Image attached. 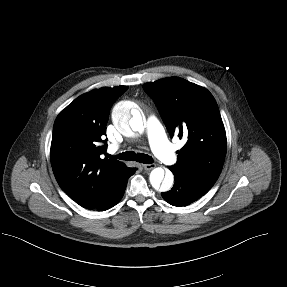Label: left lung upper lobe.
<instances>
[{
  "label": "left lung upper lobe",
  "instance_id": "5c2ea615",
  "mask_svg": "<svg viewBox=\"0 0 287 287\" xmlns=\"http://www.w3.org/2000/svg\"><path fill=\"white\" fill-rule=\"evenodd\" d=\"M143 88L156 103L171 137L176 133L188 138L177 151V163L169 169L210 190L222 170L227 148L214 97L206 88L177 77L146 83Z\"/></svg>",
  "mask_w": 287,
  "mask_h": 287
}]
</instances>
